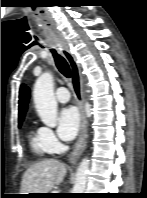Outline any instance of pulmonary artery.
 Instances as JSON below:
<instances>
[{
	"instance_id": "e3ab8cb5",
	"label": "pulmonary artery",
	"mask_w": 147,
	"mask_h": 198,
	"mask_svg": "<svg viewBox=\"0 0 147 198\" xmlns=\"http://www.w3.org/2000/svg\"><path fill=\"white\" fill-rule=\"evenodd\" d=\"M55 98L60 103H66L70 99V93L67 88L59 87L55 92Z\"/></svg>"
}]
</instances>
